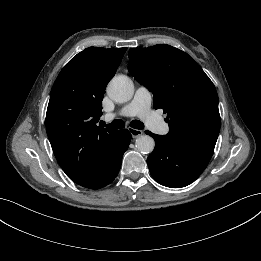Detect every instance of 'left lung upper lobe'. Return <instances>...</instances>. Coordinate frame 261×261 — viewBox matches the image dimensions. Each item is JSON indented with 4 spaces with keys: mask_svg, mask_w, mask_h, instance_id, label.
Here are the masks:
<instances>
[{
    "mask_svg": "<svg viewBox=\"0 0 261 261\" xmlns=\"http://www.w3.org/2000/svg\"><path fill=\"white\" fill-rule=\"evenodd\" d=\"M129 72L154 94V108L167 113L168 137L215 147L220 131L214 84L187 53L166 44L129 50Z\"/></svg>",
    "mask_w": 261,
    "mask_h": 261,
    "instance_id": "5c2ea615",
    "label": "left lung upper lobe"
}]
</instances>
